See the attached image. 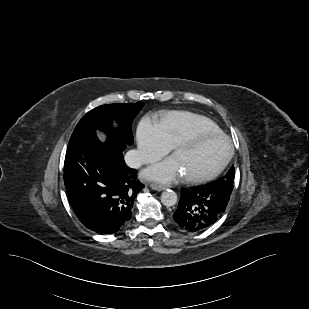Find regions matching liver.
<instances>
[{"label":"liver","instance_id":"liver-1","mask_svg":"<svg viewBox=\"0 0 309 309\" xmlns=\"http://www.w3.org/2000/svg\"><path fill=\"white\" fill-rule=\"evenodd\" d=\"M99 138L102 140V139H103V136L99 135Z\"/></svg>","mask_w":309,"mask_h":309}]
</instances>
